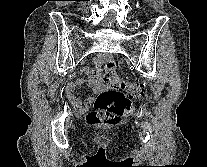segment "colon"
Here are the masks:
<instances>
[{"label": "colon", "instance_id": "colon-1", "mask_svg": "<svg viewBox=\"0 0 207 167\" xmlns=\"http://www.w3.org/2000/svg\"><path fill=\"white\" fill-rule=\"evenodd\" d=\"M117 61L109 59L102 66L106 88L97 96L94 109L87 115L91 125H115L132 113V101L144 94V86L128 78L119 77Z\"/></svg>", "mask_w": 207, "mask_h": 167}]
</instances>
